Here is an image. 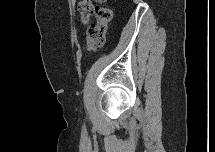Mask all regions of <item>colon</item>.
Wrapping results in <instances>:
<instances>
[{
	"mask_svg": "<svg viewBox=\"0 0 215 152\" xmlns=\"http://www.w3.org/2000/svg\"><path fill=\"white\" fill-rule=\"evenodd\" d=\"M79 17L83 24L88 25L86 47L95 49L105 43V33L112 19V11L105 1L82 0L78 6ZM96 17V23L90 24L92 15Z\"/></svg>",
	"mask_w": 215,
	"mask_h": 152,
	"instance_id": "colon-1",
	"label": "colon"
}]
</instances>
